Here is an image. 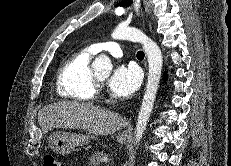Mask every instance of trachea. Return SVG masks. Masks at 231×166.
Masks as SVG:
<instances>
[{"label": "trachea", "instance_id": "3493384b", "mask_svg": "<svg viewBox=\"0 0 231 166\" xmlns=\"http://www.w3.org/2000/svg\"><path fill=\"white\" fill-rule=\"evenodd\" d=\"M137 58H138L139 60L144 59V52H143V51H138V52H137Z\"/></svg>", "mask_w": 231, "mask_h": 166}]
</instances>
